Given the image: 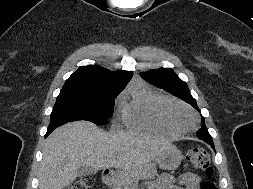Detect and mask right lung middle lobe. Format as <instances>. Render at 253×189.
Segmentation results:
<instances>
[{
    "label": "right lung middle lobe",
    "mask_w": 253,
    "mask_h": 189,
    "mask_svg": "<svg viewBox=\"0 0 253 189\" xmlns=\"http://www.w3.org/2000/svg\"><path fill=\"white\" fill-rule=\"evenodd\" d=\"M120 92L121 90L62 89L51 113L49 127L77 120L106 124L113 114L114 101Z\"/></svg>",
    "instance_id": "1"
}]
</instances>
